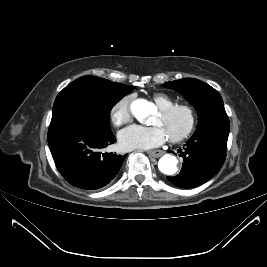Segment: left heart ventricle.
Here are the masks:
<instances>
[{"mask_svg": "<svg viewBox=\"0 0 267 267\" xmlns=\"http://www.w3.org/2000/svg\"><path fill=\"white\" fill-rule=\"evenodd\" d=\"M188 124V116L182 111H176L169 116L159 114L153 121V125L160 126L166 133L167 137L180 134Z\"/></svg>", "mask_w": 267, "mask_h": 267, "instance_id": "b2bd125f", "label": "left heart ventricle"}]
</instances>
